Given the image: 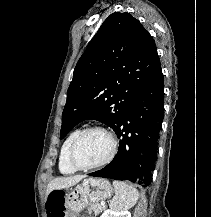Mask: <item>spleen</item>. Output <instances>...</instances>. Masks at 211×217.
Here are the masks:
<instances>
[{
	"instance_id": "spleen-1",
	"label": "spleen",
	"mask_w": 211,
	"mask_h": 217,
	"mask_svg": "<svg viewBox=\"0 0 211 217\" xmlns=\"http://www.w3.org/2000/svg\"><path fill=\"white\" fill-rule=\"evenodd\" d=\"M115 196L111 201L110 208L114 211H125L136 204L139 192L131 185L122 181H113Z\"/></svg>"
}]
</instances>
